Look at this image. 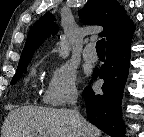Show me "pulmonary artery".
<instances>
[{
  "instance_id": "e3ab8cb5",
  "label": "pulmonary artery",
  "mask_w": 144,
  "mask_h": 137,
  "mask_svg": "<svg viewBox=\"0 0 144 137\" xmlns=\"http://www.w3.org/2000/svg\"><path fill=\"white\" fill-rule=\"evenodd\" d=\"M83 57L88 62H96L98 57L95 51V46L89 43L83 50Z\"/></svg>"
}]
</instances>
